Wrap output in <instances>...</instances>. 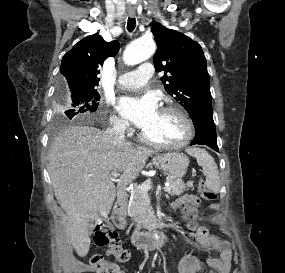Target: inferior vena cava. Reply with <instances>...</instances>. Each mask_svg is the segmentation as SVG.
Instances as JSON below:
<instances>
[{
    "label": "inferior vena cava",
    "mask_w": 285,
    "mask_h": 273,
    "mask_svg": "<svg viewBox=\"0 0 285 273\" xmlns=\"http://www.w3.org/2000/svg\"><path fill=\"white\" fill-rule=\"evenodd\" d=\"M127 124L122 120H115L112 126L106 130V134L115 142H122L125 140V130Z\"/></svg>",
    "instance_id": "1"
}]
</instances>
